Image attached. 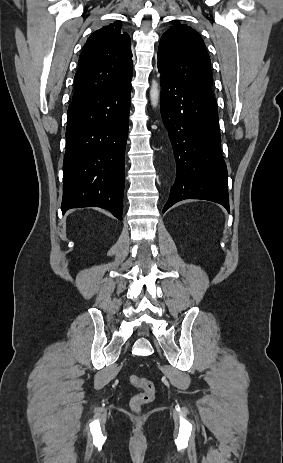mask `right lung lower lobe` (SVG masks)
Instances as JSON below:
<instances>
[{
  "label": "right lung lower lobe",
  "mask_w": 283,
  "mask_h": 463,
  "mask_svg": "<svg viewBox=\"0 0 283 463\" xmlns=\"http://www.w3.org/2000/svg\"><path fill=\"white\" fill-rule=\"evenodd\" d=\"M131 79L68 107L62 212L101 207L122 220Z\"/></svg>",
  "instance_id": "obj_1"
}]
</instances>
